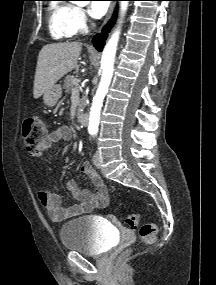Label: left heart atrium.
Here are the masks:
<instances>
[{
	"label": "left heart atrium",
	"instance_id": "39dd6f15",
	"mask_svg": "<svg viewBox=\"0 0 216 285\" xmlns=\"http://www.w3.org/2000/svg\"><path fill=\"white\" fill-rule=\"evenodd\" d=\"M108 8V1H93L90 5V14L92 17L98 19L106 14Z\"/></svg>",
	"mask_w": 216,
	"mask_h": 285
}]
</instances>
